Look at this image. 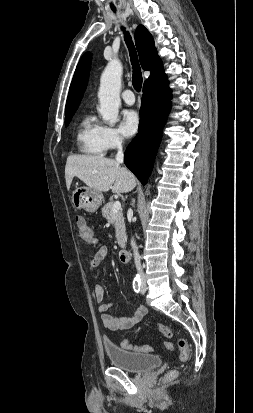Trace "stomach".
Returning <instances> with one entry per match:
<instances>
[{
  "label": "stomach",
  "instance_id": "0dacf381",
  "mask_svg": "<svg viewBox=\"0 0 253 413\" xmlns=\"http://www.w3.org/2000/svg\"><path fill=\"white\" fill-rule=\"evenodd\" d=\"M103 200L102 192L89 187H78L72 194V203L75 208L84 209L87 212H95Z\"/></svg>",
  "mask_w": 253,
  "mask_h": 413
}]
</instances>
